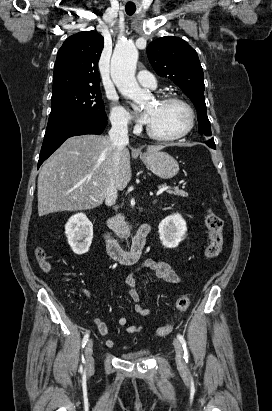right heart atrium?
Segmentation results:
<instances>
[{
	"instance_id": "d8ad5b80",
	"label": "right heart atrium",
	"mask_w": 272,
	"mask_h": 411,
	"mask_svg": "<svg viewBox=\"0 0 272 411\" xmlns=\"http://www.w3.org/2000/svg\"><path fill=\"white\" fill-rule=\"evenodd\" d=\"M109 118L112 125L118 129H127L131 120L127 110L116 103L112 104Z\"/></svg>"
}]
</instances>
